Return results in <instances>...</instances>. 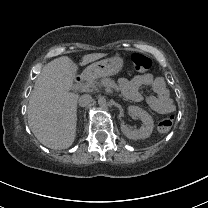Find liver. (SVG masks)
Wrapping results in <instances>:
<instances>
[{"label":"liver","mask_w":208,"mask_h":208,"mask_svg":"<svg viewBox=\"0 0 208 208\" xmlns=\"http://www.w3.org/2000/svg\"><path fill=\"white\" fill-rule=\"evenodd\" d=\"M108 53L84 54L81 66L106 57ZM79 66L68 56L47 63L38 75L29 97L28 123L35 137L46 147L60 150L75 141L78 95L71 93Z\"/></svg>","instance_id":"liver-1"}]
</instances>
